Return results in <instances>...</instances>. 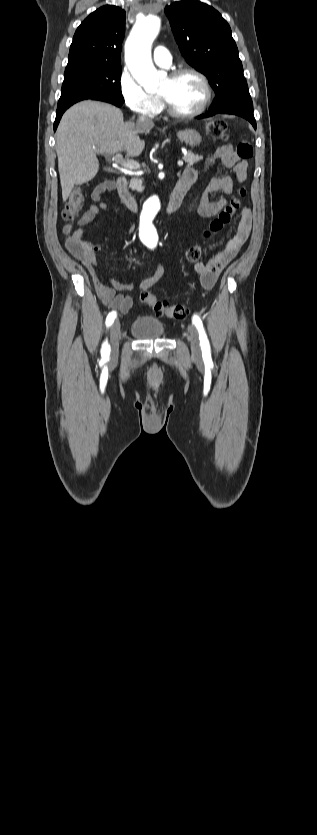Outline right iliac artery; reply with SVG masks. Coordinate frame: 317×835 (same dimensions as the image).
Instances as JSON below:
<instances>
[{"instance_id": "1", "label": "right iliac artery", "mask_w": 317, "mask_h": 835, "mask_svg": "<svg viewBox=\"0 0 317 835\" xmlns=\"http://www.w3.org/2000/svg\"><path fill=\"white\" fill-rule=\"evenodd\" d=\"M116 316H117L116 311H111V312L108 314V316H107V318H106V326H107V327H109V326H111V325H112V323L114 322V320H115ZM109 354H110V347H109V345H108L107 341H105V342L103 343V346H102L101 355H102V357H103V358H107V357H109Z\"/></svg>"}]
</instances>
